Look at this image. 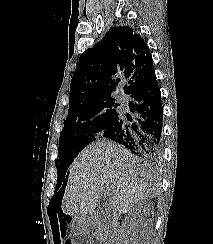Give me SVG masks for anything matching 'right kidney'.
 <instances>
[{"label": "right kidney", "instance_id": "right-kidney-1", "mask_svg": "<svg viewBox=\"0 0 213 244\" xmlns=\"http://www.w3.org/2000/svg\"><path fill=\"white\" fill-rule=\"evenodd\" d=\"M145 208H151L150 203H148L146 201H141L137 205H135V207L133 208V210L130 211V213L128 215L130 217L131 216H136V215H138L139 211H141L142 209H145Z\"/></svg>", "mask_w": 213, "mask_h": 244}]
</instances>
